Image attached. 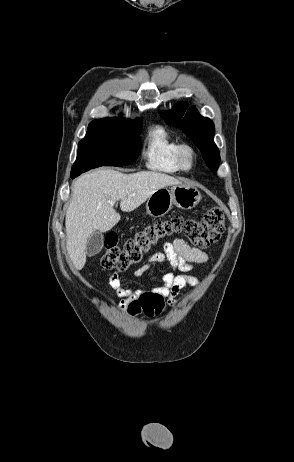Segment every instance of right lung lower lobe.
<instances>
[{"label": "right lung lower lobe", "mask_w": 294, "mask_h": 462, "mask_svg": "<svg viewBox=\"0 0 294 462\" xmlns=\"http://www.w3.org/2000/svg\"><path fill=\"white\" fill-rule=\"evenodd\" d=\"M114 162L112 161V159L109 157V156H103L99 159L98 163L95 164L94 166L96 167H100V166H113ZM95 167V168H96ZM78 175H73L71 176V178H75L77 177Z\"/></svg>", "instance_id": "obj_1"}]
</instances>
